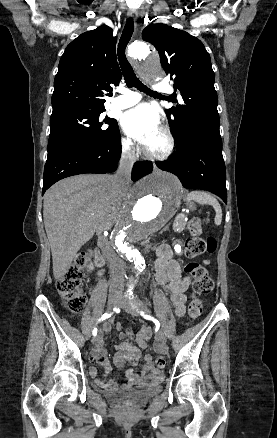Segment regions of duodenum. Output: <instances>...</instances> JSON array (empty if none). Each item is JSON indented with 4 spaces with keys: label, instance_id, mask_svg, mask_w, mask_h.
<instances>
[{
    "label": "duodenum",
    "instance_id": "1",
    "mask_svg": "<svg viewBox=\"0 0 277 438\" xmlns=\"http://www.w3.org/2000/svg\"><path fill=\"white\" fill-rule=\"evenodd\" d=\"M96 263L100 268H102L104 266V258L102 257V255L100 253H97Z\"/></svg>",
    "mask_w": 277,
    "mask_h": 438
}]
</instances>
